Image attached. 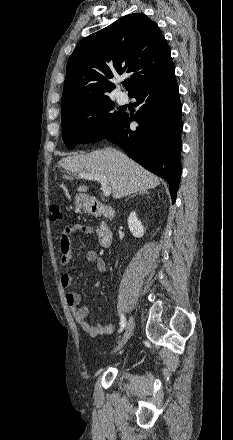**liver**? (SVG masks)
<instances>
[{
	"label": "liver",
	"instance_id": "obj_1",
	"mask_svg": "<svg viewBox=\"0 0 233 440\" xmlns=\"http://www.w3.org/2000/svg\"><path fill=\"white\" fill-rule=\"evenodd\" d=\"M59 165L72 173H87L104 177L110 185L112 196L115 199L126 197L138 191L153 189L160 185L157 176L112 147L95 150L86 155L62 158ZM63 178L73 180L70 175H63ZM87 190L86 185H80L77 188L78 192H86Z\"/></svg>",
	"mask_w": 233,
	"mask_h": 440
}]
</instances>
